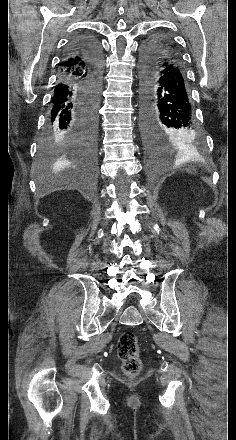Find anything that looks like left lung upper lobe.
I'll use <instances>...</instances> for the list:
<instances>
[{"instance_id": "1", "label": "left lung upper lobe", "mask_w": 236, "mask_h": 440, "mask_svg": "<svg viewBox=\"0 0 236 440\" xmlns=\"http://www.w3.org/2000/svg\"><path fill=\"white\" fill-rule=\"evenodd\" d=\"M168 54L179 55L173 41L164 34H154L143 44L141 62H157Z\"/></svg>"}]
</instances>
